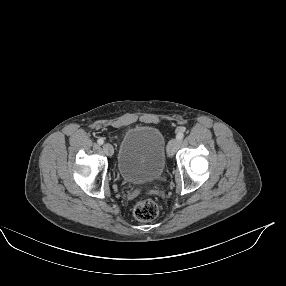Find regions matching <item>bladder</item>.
<instances>
[{
    "instance_id": "bladder-1",
    "label": "bladder",
    "mask_w": 286,
    "mask_h": 286,
    "mask_svg": "<svg viewBox=\"0 0 286 286\" xmlns=\"http://www.w3.org/2000/svg\"><path fill=\"white\" fill-rule=\"evenodd\" d=\"M166 140L156 127L139 125L123 135L117 154V168L127 182H149L161 177L165 168Z\"/></svg>"
}]
</instances>
